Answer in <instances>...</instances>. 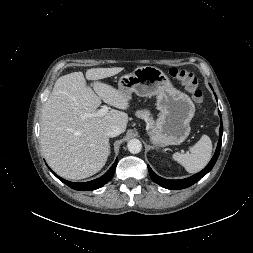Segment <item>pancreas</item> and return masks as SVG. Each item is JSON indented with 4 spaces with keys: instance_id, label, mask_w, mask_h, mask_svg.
Wrapping results in <instances>:
<instances>
[{
    "instance_id": "1",
    "label": "pancreas",
    "mask_w": 253,
    "mask_h": 253,
    "mask_svg": "<svg viewBox=\"0 0 253 253\" xmlns=\"http://www.w3.org/2000/svg\"><path fill=\"white\" fill-rule=\"evenodd\" d=\"M137 117L144 119L149 125L154 123L153 118L148 110L137 111Z\"/></svg>"
}]
</instances>
